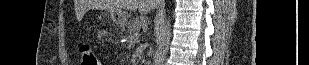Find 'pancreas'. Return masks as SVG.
<instances>
[{"label": "pancreas", "mask_w": 309, "mask_h": 65, "mask_svg": "<svg viewBox=\"0 0 309 65\" xmlns=\"http://www.w3.org/2000/svg\"><path fill=\"white\" fill-rule=\"evenodd\" d=\"M140 23L138 20L131 21L128 26V31L130 33L135 32L139 29Z\"/></svg>", "instance_id": "1"}]
</instances>
